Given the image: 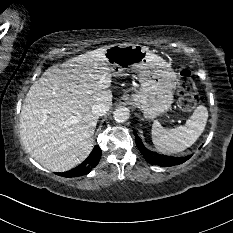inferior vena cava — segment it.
I'll use <instances>...</instances> for the list:
<instances>
[{
    "label": "inferior vena cava",
    "mask_w": 233,
    "mask_h": 233,
    "mask_svg": "<svg viewBox=\"0 0 233 233\" xmlns=\"http://www.w3.org/2000/svg\"><path fill=\"white\" fill-rule=\"evenodd\" d=\"M109 107L110 106L105 102H98L93 105L92 112L98 116H102L108 112Z\"/></svg>",
    "instance_id": "obj_1"
}]
</instances>
